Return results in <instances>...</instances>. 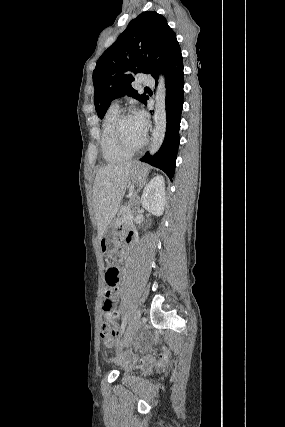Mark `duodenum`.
<instances>
[{"label":"duodenum","mask_w":285,"mask_h":427,"mask_svg":"<svg viewBox=\"0 0 285 427\" xmlns=\"http://www.w3.org/2000/svg\"><path fill=\"white\" fill-rule=\"evenodd\" d=\"M128 250H129V247H127V246L123 247V252H127Z\"/></svg>","instance_id":"obj_1"}]
</instances>
